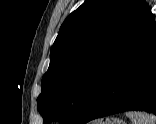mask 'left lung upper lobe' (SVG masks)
Returning <instances> with one entry per match:
<instances>
[{
    "label": "left lung upper lobe",
    "mask_w": 156,
    "mask_h": 124,
    "mask_svg": "<svg viewBox=\"0 0 156 124\" xmlns=\"http://www.w3.org/2000/svg\"><path fill=\"white\" fill-rule=\"evenodd\" d=\"M154 21L143 0H86L63 22L42 78L44 124H79L117 60Z\"/></svg>",
    "instance_id": "1"
}]
</instances>
